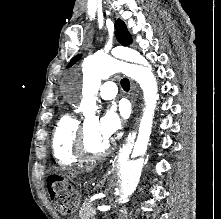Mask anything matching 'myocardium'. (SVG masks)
I'll use <instances>...</instances> for the list:
<instances>
[{"mask_svg": "<svg viewBox=\"0 0 221 219\" xmlns=\"http://www.w3.org/2000/svg\"><path fill=\"white\" fill-rule=\"evenodd\" d=\"M111 148H112V143L108 142L100 152L97 153L90 152L86 146L85 123L80 125L74 144V154L79 161L89 162L104 158L106 155H108Z\"/></svg>", "mask_w": 221, "mask_h": 219, "instance_id": "1", "label": "myocardium"}]
</instances>
